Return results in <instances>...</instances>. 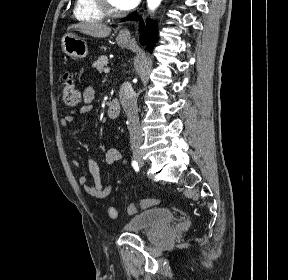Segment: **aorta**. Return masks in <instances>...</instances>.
I'll list each match as a JSON object with an SVG mask.
<instances>
[{
  "mask_svg": "<svg viewBox=\"0 0 288 280\" xmlns=\"http://www.w3.org/2000/svg\"><path fill=\"white\" fill-rule=\"evenodd\" d=\"M162 0H147V6L150 11H154L156 8L159 7Z\"/></svg>",
  "mask_w": 288,
  "mask_h": 280,
  "instance_id": "762f6f07",
  "label": "aorta"
}]
</instances>
